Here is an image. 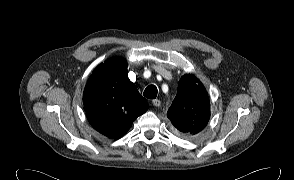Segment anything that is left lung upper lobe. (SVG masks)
I'll use <instances>...</instances> for the list:
<instances>
[{
    "label": "left lung upper lobe",
    "instance_id": "obj_1",
    "mask_svg": "<svg viewBox=\"0 0 294 180\" xmlns=\"http://www.w3.org/2000/svg\"><path fill=\"white\" fill-rule=\"evenodd\" d=\"M209 107V98L202 83L193 75L186 74L178 84V93L167 117L180 132L196 134L208 123Z\"/></svg>",
    "mask_w": 294,
    "mask_h": 180
}]
</instances>
